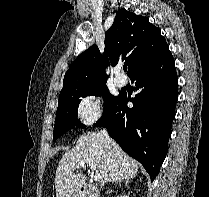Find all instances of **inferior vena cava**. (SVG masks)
Masks as SVG:
<instances>
[{
    "label": "inferior vena cava",
    "instance_id": "1",
    "mask_svg": "<svg viewBox=\"0 0 209 197\" xmlns=\"http://www.w3.org/2000/svg\"><path fill=\"white\" fill-rule=\"evenodd\" d=\"M99 134L105 138V140L109 143L111 141L109 135H108V132L106 129H103L99 132Z\"/></svg>",
    "mask_w": 209,
    "mask_h": 197
}]
</instances>
